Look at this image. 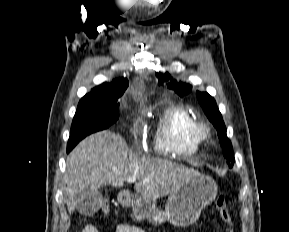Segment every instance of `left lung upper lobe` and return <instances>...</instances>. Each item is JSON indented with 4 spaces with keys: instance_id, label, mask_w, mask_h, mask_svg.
<instances>
[{
    "instance_id": "5c2ea615",
    "label": "left lung upper lobe",
    "mask_w": 289,
    "mask_h": 232,
    "mask_svg": "<svg viewBox=\"0 0 289 232\" xmlns=\"http://www.w3.org/2000/svg\"><path fill=\"white\" fill-rule=\"evenodd\" d=\"M156 76L161 82L171 80L168 84V88L174 90L179 96L183 97L184 95L189 94L192 91V86L186 83H177L176 80H173L172 77L168 74L156 73ZM198 101L203 108L208 119L213 123L214 127L218 131V137L220 139V144L222 146L223 154L225 158L229 161L234 162L233 149L231 142L226 135V127L222 119V115L219 112V109L216 105V102L213 97H211L206 92H196ZM232 166V165H229Z\"/></svg>"
}]
</instances>
